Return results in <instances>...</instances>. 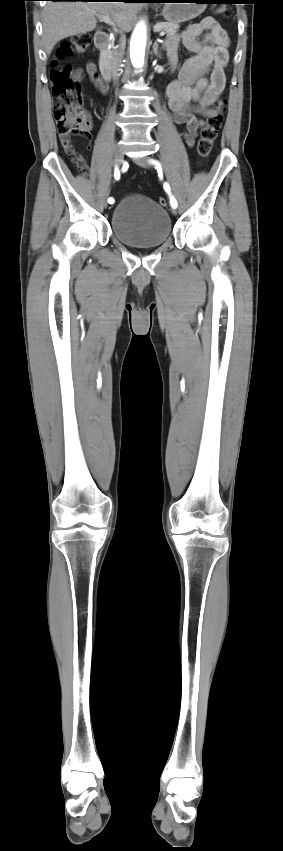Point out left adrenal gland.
<instances>
[{"label":"left adrenal gland","instance_id":"obj_1","mask_svg":"<svg viewBox=\"0 0 283 851\" xmlns=\"http://www.w3.org/2000/svg\"><path fill=\"white\" fill-rule=\"evenodd\" d=\"M153 52H154V54H155L156 56H158L159 58H161V55H159V54H158V42H157V41H155V42H154V45H153Z\"/></svg>","mask_w":283,"mask_h":851}]
</instances>
